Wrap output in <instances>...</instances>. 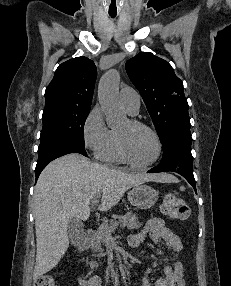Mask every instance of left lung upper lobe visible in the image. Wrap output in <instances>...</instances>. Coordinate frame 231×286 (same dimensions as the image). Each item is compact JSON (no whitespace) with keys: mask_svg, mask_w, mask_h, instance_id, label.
<instances>
[{"mask_svg":"<svg viewBox=\"0 0 231 286\" xmlns=\"http://www.w3.org/2000/svg\"><path fill=\"white\" fill-rule=\"evenodd\" d=\"M125 68L146 104L160 141L172 131L190 129L183 83L168 62L141 52L128 60Z\"/></svg>","mask_w":231,"mask_h":286,"instance_id":"left-lung-upper-lobe-1","label":"left lung upper lobe"}]
</instances>
